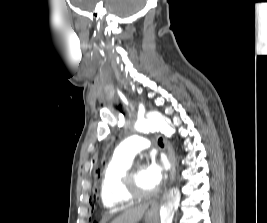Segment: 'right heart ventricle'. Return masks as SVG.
Wrapping results in <instances>:
<instances>
[{"label": "right heart ventricle", "mask_w": 267, "mask_h": 223, "mask_svg": "<svg viewBox=\"0 0 267 223\" xmlns=\"http://www.w3.org/2000/svg\"><path fill=\"white\" fill-rule=\"evenodd\" d=\"M131 163L132 160L113 155L104 169L101 180L100 197L103 206L109 212L117 211L131 202V200L126 198L122 184L123 176L131 166Z\"/></svg>", "instance_id": "right-heart-ventricle-1"}]
</instances>
